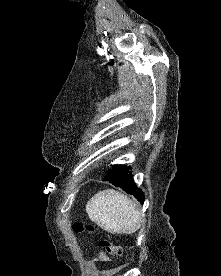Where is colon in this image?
Here are the masks:
<instances>
[{
    "label": "colon",
    "instance_id": "colon-1",
    "mask_svg": "<svg viewBox=\"0 0 221 276\" xmlns=\"http://www.w3.org/2000/svg\"><path fill=\"white\" fill-rule=\"evenodd\" d=\"M73 230L76 233H81L83 231L93 232L94 228L92 225H84L82 223L77 222L73 225ZM98 246L105 249L112 256H119L121 254V247L114 245L107 239L99 240Z\"/></svg>",
    "mask_w": 221,
    "mask_h": 276
}]
</instances>
